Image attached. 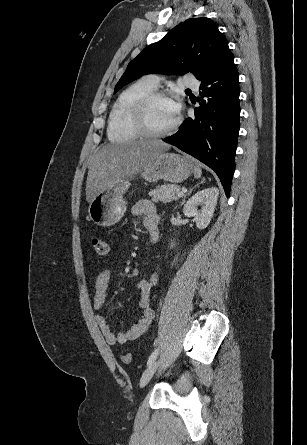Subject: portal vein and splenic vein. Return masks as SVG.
Instances as JSON below:
<instances>
[{"label":"portal vein and splenic vein","instance_id":"1","mask_svg":"<svg viewBox=\"0 0 307 445\" xmlns=\"http://www.w3.org/2000/svg\"><path fill=\"white\" fill-rule=\"evenodd\" d=\"M184 192H178V196H183Z\"/></svg>","mask_w":307,"mask_h":445}]
</instances>
